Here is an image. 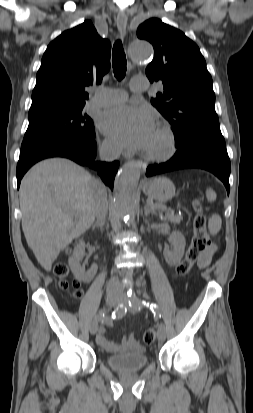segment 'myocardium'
I'll use <instances>...</instances> for the list:
<instances>
[{
  "instance_id": "obj_1",
  "label": "myocardium",
  "mask_w": 253,
  "mask_h": 413,
  "mask_svg": "<svg viewBox=\"0 0 253 413\" xmlns=\"http://www.w3.org/2000/svg\"><path fill=\"white\" fill-rule=\"evenodd\" d=\"M157 130L163 139V147L159 150L146 149L145 156L152 161H166L170 159L177 150V142L171 127L164 122L157 125Z\"/></svg>"
}]
</instances>
